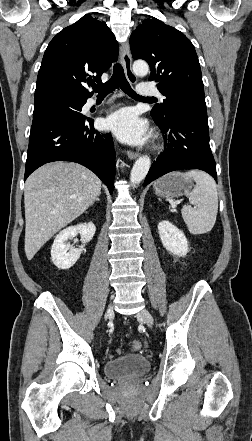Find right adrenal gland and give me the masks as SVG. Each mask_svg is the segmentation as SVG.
Instances as JSON below:
<instances>
[{
    "instance_id": "1",
    "label": "right adrenal gland",
    "mask_w": 252,
    "mask_h": 441,
    "mask_svg": "<svg viewBox=\"0 0 252 441\" xmlns=\"http://www.w3.org/2000/svg\"><path fill=\"white\" fill-rule=\"evenodd\" d=\"M95 201H100L99 197H97V198L95 199Z\"/></svg>"
}]
</instances>
